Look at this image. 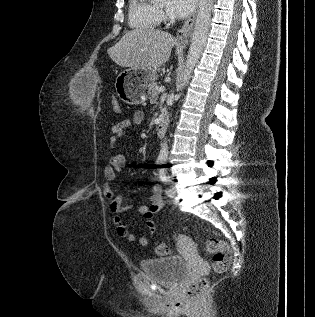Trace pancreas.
Wrapping results in <instances>:
<instances>
[{"instance_id": "pancreas-1", "label": "pancreas", "mask_w": 315, "mask_h": 317, "mask_svg": "<svg viewBox=\"0 0 315 317\" xmlns=\"http://www.w3.org/2000/svg\"><path fill=\"white\" fill-rule=\"evenodd\" d=\"M158 95H159V88L157 86V84H154L151 92H150V103H156L157 99H158Z\"/></svg>"}]
</instances>
